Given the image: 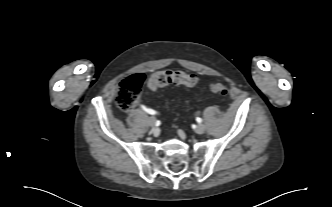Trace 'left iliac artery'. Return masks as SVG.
I'll return each mask as SVG.
<instances>
[{"instance_id": "obj_1", "label": "left iliac artery", "mask_w": 332, "mask_h": 207, "mask_svg": "<svg viewBox=\"0 0 332 207\" xmlns=\"http://www.w3.org/2000/svg\"><path fill=\"white\" fill-rule=\"evenodd\" d=\"M196 120H197L198 123H201V122H202V119L199 118V117H198Z\"/></svg>"}]
</instances>
